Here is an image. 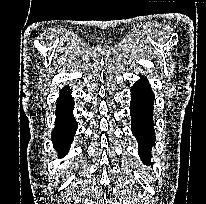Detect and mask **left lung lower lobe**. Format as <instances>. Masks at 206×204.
I'll list each match as a JSON object with an SVG mask.
<instances>
[{"label": "left lung lower lobe", "instance_id": "left-lung-lower-lobe-1", "mask_svg": "<svg viewBox=\"0 0 206 204\" xmlns=\"http://www.w3.org/2000/svg\"><path fill=\"white\" fill-rule=\"evenodd\" d=\"M154 94L144 77L131 87V130L139 144V155L143 163L151 162V149L155 142L153 127Z\"/></svg>", "mask_w": 206, "mask_h": 204}]
</instances>
